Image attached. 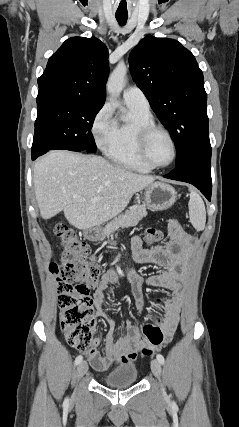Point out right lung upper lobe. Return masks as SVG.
Masks as SVG:
<instances>
[{"instance_id": "obj_1", "label": "right lung upper lobe", "mask_w": 239, "mask_h": 427, "mask_svg": "<svg viewBox=\"0 0 239 427\" xmlns=\"http://www.w3.org/2000/svg\"><path fill=\"white\" fill-rule=\"evenodd\" d=\"M108 49L97 38L72 37L48 61L38 78L37 100H70L104 105Z\"/></svg>"}]
</instances>
